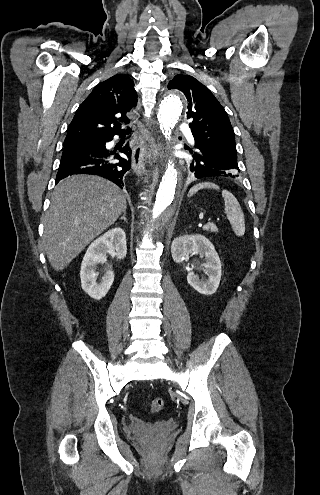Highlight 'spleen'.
Segmentation results:
<instances>
[{
	"instance_id": "obj_1",
	"label": "spleen",
	"mask_w": 320,
	"mask_h": 495,
	"mask_svg": "<svg viewBox=\"0 0 320 495\" xmlns=\"http://www.w3.org/2000/svg\"><path fill=\"white\" fill-rule=\"evenodd\" d=\"M205 188H212L215 190L220 189L219 186L214 183L202 182L193 186L190 189L188 193V197L193 196L198 190ZM222 197L225 203V208H224L225 214L227 215V218L230 221L234 233L239 237L243 236L245 234L244 213L242 211V208L238 200L231 192L225 189L222 190Z\"/></svg>"
}]
</instances>
